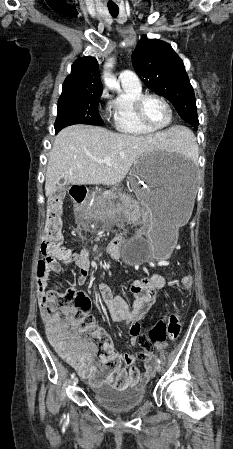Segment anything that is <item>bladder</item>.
I'll use <instances>...</instances> for the list:
<instances>
[{"label": "bladder", "mask_w": 233, "mask_h": 449, "mask_svg": "<svg viewBox=\"0 0 233 449\" xmlns=\"http://www.w3.org/2000/svg\"><path fill=\"white\" fill-rule=\"evenodd\" d=\"M91 391L94 402L99 407L111 412L134 410L146 400L145 387L118 389L103 385L93 388Z\"/></svg>", "instance_id": "obj_1"}]
</instances>
